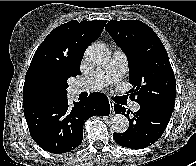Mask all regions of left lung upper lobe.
<instances>
[{"mask_svg":"<svg viewBox=\"0 0 196 166\" xmlns=\"http://www.w3.org/2000/svg\"><path fill=\"white\" fill-rule=\"evenodd\" d=\"M105 29L127 56L129 80L134 86L129 92L131 99L173 112L176 80L156 33L138 20H110Z\"/></svg>","mask_w":196,"mask_h":166,"instance_id":"1","label":"left lung upper lobe"}]
</instances>
